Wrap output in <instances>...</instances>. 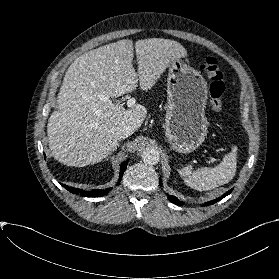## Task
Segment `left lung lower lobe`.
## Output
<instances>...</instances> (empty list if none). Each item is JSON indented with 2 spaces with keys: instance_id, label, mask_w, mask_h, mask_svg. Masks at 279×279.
Masks as SVG:
<instances>
[{
  "instance_id": "obj_1",
  "label": "left lung lower lobe",
  "mask_w": 279,
  "mask_h": 279,
  "mask_svg": "<svg viewBox=\"0 0 279 279\" xmlns=\"http://www.w3.org/2000/svg\"><path fill=\"white\" fill-rule=\"evenodd\" d=\"M159 183H160V185H162L161 178H159ZM232 190H233V189L229 190L228 192H226L224 195H222V196H221L220 198H218V199H215V200L206 202L205 205H210V204L216 203L218 200H221L222 198H224V197H226L227 195H229V194L231 193ZM168 199H169L172 203H174V204H176V205H183V202H180L176 197H172V196L169 195V196H168Z\"/></svg>"
}]
</instances>
